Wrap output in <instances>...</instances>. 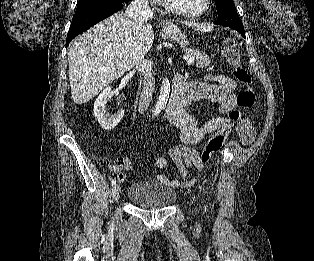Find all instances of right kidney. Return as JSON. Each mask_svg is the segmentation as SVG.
I'll list each match as a JSON object with an SVG mask.
<instances>
[{
	"label": "right kidney",
	"instance_id": "right-kidney-1",
	"mask_svg": "<svg viewBox=\"0 0 314 261\" xmlns=\"http://www.w3.org/2000/svg\"><path fill=\"white\" fill-rule=\"evenodd\" d=\"M111 91V87H106L94 103V115L104 130L114 129L124 116L123 109L118 110L114 115L107 112L106 104Z\"/></svg>",
	"mask_w": 314,
	"mask_h": 261
}]
</instances>
